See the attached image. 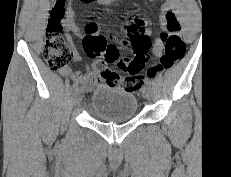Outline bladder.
Segmentation results:
<instances>
[{"instance_id":"obj_1","label":"bladder","mask_w":231,"mask_h":177,"mask_svg":"<svg viewBox=\"0 0 231 177\" xmlns=\"http://www.w3.org/2000/svg\"><path fill=\"white\" fill-rule=\"evenodd\" d=\"M90 108L99 119L107 122H119L133 119L137 114L136 96L125 89L102 85L92 95Z\"/></svg>"}]
</instances>
